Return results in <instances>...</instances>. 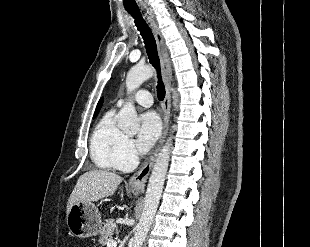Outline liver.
Wrapping results in <instances>:
<instances>
[{"label": "liver", "instance_id": "1", "mask_svg": "<svg viewBox=\"0 0 310 247\" xmlns=\"http://www.w3.org/2000/svg\"><path fill=\"white\" fill-rule=\"evenodd\" d=\"M123 178L106 170H90L77 180L67 203V213L76 203H91L112 196Z\"/></svg>", "mask_w": 310, "mask_h": 247}]
</instances>
